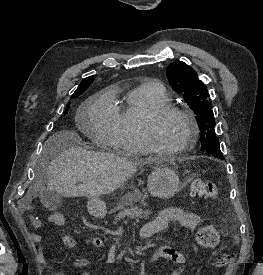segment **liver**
<instances>
[{"instance_id": "liver-1", "label": "liver", "mask_w": 263, "mask_h": 275, "mask_svg": "<svg viewBox=\"0 0 263 275\" xmlns=\"http://www.w3.org/2000/svg\"><path fill=\"white\" fill-rule=\"evenodd\" d=\"M79 141V135L71 130L57 132L49 138L46 148L53 149L54 157L47 168L46 190L63 197L98 199L120 188L137 172V166L143 164L111 153L87 151L76 145ZM31 195L29 191L26 199Z\"/></svg>"}]
</instances>
